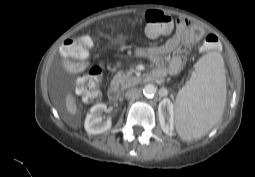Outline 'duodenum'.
<instances>
[{"instance_id":"410a0bca","label":"duodenum","mask_w":255,"mask_h":177,"mask_svg":"<svg viewBox=\"0 0 255 177\" xmlns=\"http://www.w3.org/2000/svg\"><path fill=\"white\" fill-rule=\"evenodd\" d=\"M162 76L158 72L150 73L146 78V82H156L157 80L161 79ZM108 97L111 101L116 102L119 99V91L116 86L112 85L108 89Z\"/></svg>"}]
</instances>
